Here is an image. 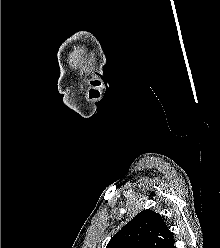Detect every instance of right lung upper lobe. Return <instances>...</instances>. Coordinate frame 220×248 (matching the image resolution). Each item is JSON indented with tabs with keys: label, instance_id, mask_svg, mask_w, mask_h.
Returning a JSON list of instances; mask_svg holds the SVG:
<instances>
[{
	"label": "right lung upper lobe",
	"instance_id": "1",
	"mask_svg": "<svg viewBox=\"0 0 220 248\" xmlns=\"http://www.w3.org/2000/svg\"><path fill=\"white\" fill-rule=\"evenodd\" d=\"M172 241L173 234L164 218L147 209L117 232L106 248H165Z\"/></svg>",
	"mask_w": 220,
	"mask_h": 248
}]
</instances>
